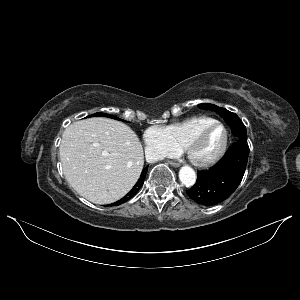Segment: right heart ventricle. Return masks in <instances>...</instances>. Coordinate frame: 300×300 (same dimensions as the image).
I'll list each match as a JSON object with an SVG mask.
<instances>
[{
    "instance_id": "obj_1",
    "label": "right heart ventricle",
    "mask_w": 300,
    "mask_h": 300,
    "mask_svg": "<svg viewBox=\"0 0 300 300\" xmlns=\"http://www.w3.org/2000/svg\"><path fill=\"white\" fill-rule=\"evenodd\" d=\"M214 121L216 120L208 116H193L161 128L170 142L178 150H182L198 131Z\"/></svg>"
}]
</instances>
